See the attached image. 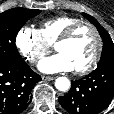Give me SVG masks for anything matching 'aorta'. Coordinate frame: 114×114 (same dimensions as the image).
<instances>
[{
	"label": "aorta",
	"mask_w": 114,
	"mask_h": 114,
	"mask_svg": "<svg viewBox=\"0 0 114 114\" xmlns=\"http://www.w3.org/2000/svg\"><path fill=\"white\" fill-rule=\"evenodd\" d=\"M70 81L68 78L66 77H59L56 79L55 81V87L59 90V91H67L70 88Z\"/></svg>",
	"instance_id": "762f6f07"
}]
</instances>
